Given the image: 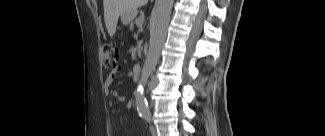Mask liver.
Segmentation results:
<instances>
[{"label": "liver", "mask_w": 325, "mask_h": 136, "mask_svg": "<svg viewBox=\"0 0 325 136\" xmlns=\"http://www.w3.org/2000/svg\"><path fill=\"white\" fill-rule=\"evenodd\" d=\"M147 2L148 0H103L104 20L109 36L115 34L120 15L137 12V8Z\"/></svg>", "instance_id": "6515ba94"}]
</instances>
